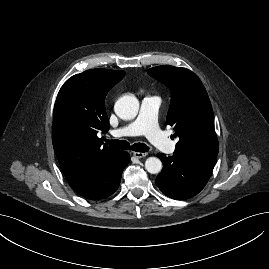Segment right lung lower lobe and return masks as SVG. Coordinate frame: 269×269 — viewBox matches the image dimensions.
I'll return each instance as SVG.
<instances>
[{
	"label": "right lung lower lobe",
	"instance_id": "right-lung-lower-lobe-1",
	"mask_svg": "<svg viewBox=\"0 0 269 269\" xmlns=\"http://www.w3.org/2000/svg\"><path fill=\"white\" fill-rule=\"evenodd\" d=\"M129 161V154L122 151L108 164L69 179L68 182L78 194L87 199L99 200L108 197L118 189L122 172Z\"/></svg>",
	"mask_w": 269,
	"mask_h": 269
}]
</instances>
